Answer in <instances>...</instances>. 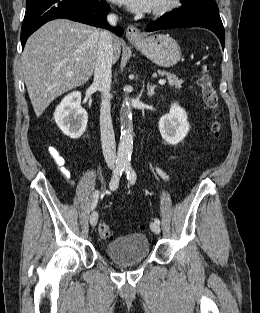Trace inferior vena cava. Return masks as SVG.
Wrapping results in <instances>:
<instances>
[{"label": "inferior vena cava", "mask_w": 260, "mask_h": 313, "mask_svg": "<svg viewBox=\"0 0 260 313\" xmlns=\"http://www.w3.org/2000/svg\"><path fill=\"white\" fill-rule=\"evenodd\" d=\"M107 21L110 25H116L117 16L109 14ZM113 62V35L107 30L100 32L98 41L97 58L94 69L93 84L102 93V102L100 107V130L101 143L104 159L109 167H114L116 164V144L115 136L111 119V68Z\"/></svg>", "instance_id": "602c4592"}]
</instances>
